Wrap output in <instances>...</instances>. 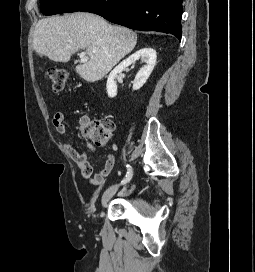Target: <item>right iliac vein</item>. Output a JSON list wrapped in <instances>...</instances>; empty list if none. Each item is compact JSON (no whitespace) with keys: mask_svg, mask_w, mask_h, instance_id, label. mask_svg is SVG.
I'll list each match as a JSON object with an SVG mask.
<instances>
[{"mask_svg":"<svg viewBox=\"0 0 255 272\" xmlns=\"http://www.w3.org/2000/svg\"><path fill=\"white\" fill-rule=\"evenodd\" d=\"M118 190V186L117 185H113L111 187H109L102 195V206L105 207L107 205V203L109 202V200L115 195V193Z\"/></svg>","mask_w":255,"mask_h":272,"instance_id":"63e3f726","label":"right iliac vein"}]
</instances>
